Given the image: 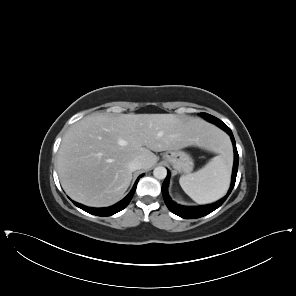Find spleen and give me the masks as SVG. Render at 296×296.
I'll use <instances>...</instances> for the list:
<instances>
[{
  "instance_id": "spleen-1",
  "label": "spleen",
  "mask_w": 296,
  "mask_h": 296,
  "mask_svg": "<svg viewBox=\"0 0 296 296\" xmlns=\"http://www.w3.org/2000/svg\"><path fill=\"white\" fill-rule=\"evenodd\" d=\"M220 153L197 172L179 179L184 192L199 204L212 203L223 197L230 183L232 157L229 146L220 139L213 148Z\"/></svg>"
}]
</instances>
